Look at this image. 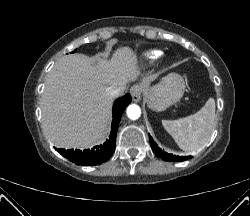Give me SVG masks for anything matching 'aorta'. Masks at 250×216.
I'll return each mask as SVG.
<instances>
[{
    "label": "aorta",
    "instance_id": "762f6f07",
    "mask_svg": "<svg viewBox=\"0 0 250 216\" xmlns=\"http://www.w3.org/2000/svg\"><path fill=\"white\" fill-rule=\"evenodd\" d=\"M127 116L131 120H137L141 115V109L136 104H131L127 107Z\"/></svg>",
    "mask_w": 250,
    "mask_h": 216
}]
</instances>
